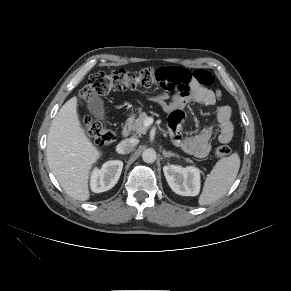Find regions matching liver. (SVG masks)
<instances>
[{"label":"liver","instance_id":"1","mask_svg":"<svg viewBox=\"0 0 291 291\" xmlns=\"http://www.w3.org/2000/svg\"><path fill=\"white\" fill-rule=\"evenodd\" d=\"M78 99L68 100L53 119L47 138L49 167L63 190L72 198H90L88 179L101 151L92 143L81 125Z\"/></svg>","mask_w":291,"mask_h":291}]
</instances>
